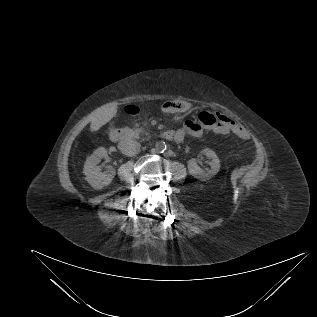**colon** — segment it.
<instances>
[{"label":"colon","mask_w":317,"mask_h":317,"mask_svg":"<svg viewBox=\"0 0 317 317\" xmlns=\"http://www.w3.org/2000/svg\"><path fill=\"white\" fill-rule=\"evenodd\" d=\"M130 112L132 113H136L137 109L135 107H131L129 109ZM219 115L218 113H214V112H210V111H203L199 114V120L201 121V123L205 126H215L218 124L219 122Z\"/></svg>","instance_id":"1"}]
</instances>
